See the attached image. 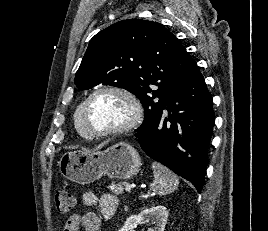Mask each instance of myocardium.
<instances>
[{
  "mask_svg": "<svg viewBox=\"0 0 268 231\" xmlns=\"http://www.w3.org/2000/svg\"><path fill=\"white\" fill-rule=\"evenodd\" d=\"M100 93L116 94L129 103L131 114L130 118L126 123H124L119 127L106 129L102 131H95L91 129L88 122V108L92 99ZM142 118H143V109L139 99L129 90L117 86H103L95 89L87 96L84 103L82 104V120L87 132V136L90 138L114 137L124 135L134 130L141 123Z\"/></svg>",
  "mask_w": 268,
  "mask_h": 231,
  "instance_id": "1",
  "label": "myocardium"
}]
</instances>
